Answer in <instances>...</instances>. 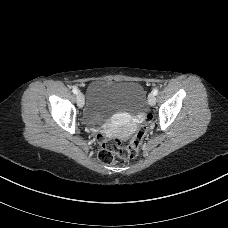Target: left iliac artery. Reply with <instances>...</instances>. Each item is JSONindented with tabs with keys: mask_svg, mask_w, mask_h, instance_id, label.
<instances>
[{
	"mask_svg": "<svg viewBox=\"0 0 228 228\" xmlns=\"http://www.w3.org/2000/svg\"><path fill=\"white\" fill-rule=\"evenodd\" d=\"M153 94H154V95H157V94H158V89H157V88H155V89L153 90Z\"/></svg>",
	"mask_w": 228,
	"mask_h": 228,
	"instance_id": "1",
	"label": "left iliac artery"
}]
</instances>
